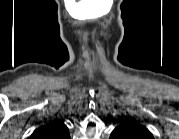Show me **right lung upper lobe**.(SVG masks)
I'll list each match as a JSON object with an SVG mask.
<instances>
[{
    "label": "right lung upper lobe",
    "instance_id": "1",
    "mask_svg": "<svg viewBox=\"0 0 179 139\" xmlns=\"http://www.w3.org/2000/svg\"><path fill=\"white\" fill-rule=\"evenodd\" d=\"M33 139H69L67 126L59 120L52 121L36 129L32 134Z\"/></svg>",
    "mask_w": 179,
    "mask_h": 139
}]
</instances>
